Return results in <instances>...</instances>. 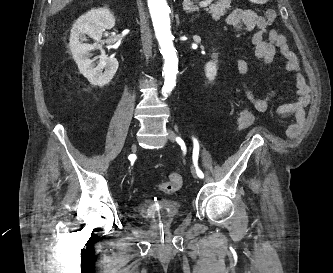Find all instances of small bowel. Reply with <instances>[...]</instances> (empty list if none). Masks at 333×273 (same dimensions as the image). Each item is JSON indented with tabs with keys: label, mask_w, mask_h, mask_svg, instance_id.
Masks as SVG:
<instances>
[{
	"label": "small bowel",
	"mask_w": 333,
	"mask_h": 273,
	"mask_svg": "<svg viewBox=\"0 0 333 273\" xmlns=\"http://www.w3.org/2000/svg\"><path fill=\"white\" fill-rule=\"evenodd\" d=\"M227 22L237 31L240 38H244L245 32H252L250 42L254 47V55L263 64H270L277 52L282 54L285 58L286 70L295 75L298 99L296 102L280 106L278 111L282 116H293L294 121L291 125V129L295 132L303 116V109L305 107V82L300 71L297 57L294 52L290 50L286 38L276 30L268 29V19L249 8H235L228 15ZM236 67L241 75L249 74L250 68L245 60L238 59L236 61ZM241 87L246 99L256 111L266 112L269 109L274 93H270L264 98H259L245 83L242 82Z\"/></svg>",
	"instance_id": "1"
}]
</instances>
